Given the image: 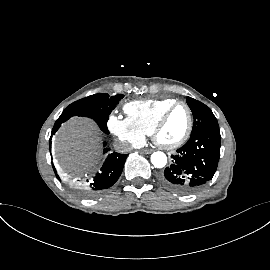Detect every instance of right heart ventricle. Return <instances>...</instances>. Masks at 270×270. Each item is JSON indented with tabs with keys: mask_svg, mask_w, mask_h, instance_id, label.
Masks as SVG:
<instances>
[{
	"mask_svg": "<svg viewBox=\"0 0 270 270\" xmlns=\"http://www.w3.org/2000/svg\"><path fill=\"white\" fill-rule=\"evenodd\" d=\"M175 99L135 100L124 105V111L132 124L145 136L151 135L161 114Z\"/></svg>",
	"mask_w": 270,
	"mask_h": 270,
	"instance_id": "right-heart-ventricle-1",
	"label": "right heart ventricle"
}]
</instances>
